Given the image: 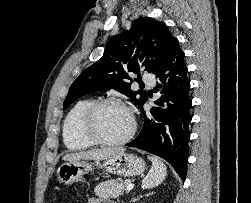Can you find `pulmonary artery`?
Wrapping results in <instances>:
<instances>
[{
    "label": "pulmonary artery",
    "mask_w": 251,
    "mask_h": 203,
    "mask_svg": "<svg viewBox=\"0 0 251 203\" xmlns=\"http://www.w3.org/2000/svg\"><path fill=\"white\" fill-rule=\"evenodd\" d=\"M142 80L144 83L148 85H154L155 84V76L151 73H146L143 75Z\"/></svg>",
    "instance_id": "obj_1"
}]
</instances>
